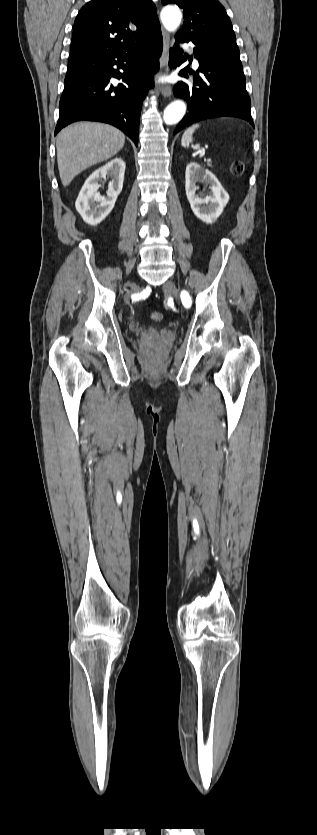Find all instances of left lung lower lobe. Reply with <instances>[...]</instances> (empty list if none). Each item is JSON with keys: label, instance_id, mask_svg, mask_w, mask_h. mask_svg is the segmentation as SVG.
<instances>
[{"label": "left lung lower lobe", "instance_id": "left-lung-lower-lobe-1", "mask_svg": "<svg viewBox=\"0 0 317 835\" xmlns=\"http://www.w3.org/2000/svg\"><path fill=\"white\" fill-rule=\"evenodd\" d=\"M176 41H181L176 39ZM195 58L199 62L197 73H193V84L182 81L174 86L176 97L185 99L189 113L179 122L174 134L200 120L216 117H237L253 127L250 97L245 88V76L240 61L239 49L201 39L193 42ZM187 57V54H185ZM186 57L178 45L170 49L169 66H180ZM192 61V57H188ZM192 71L186 67L179 72L188 78Z\"/></svg>", "mask_w": 317, "mask_h": 835}]
</instances>
